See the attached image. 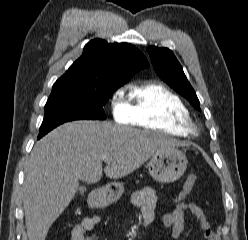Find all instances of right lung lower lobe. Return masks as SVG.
Masks as SVG:
<instances>
[{"label": "right lung lower lobe", "instance_id": "obj_1", "mask_svg": "<svg viewBox=\"0 0 248 240\" xmlns=\"http://www.w3.org/2000/svg\"><path fill=\"white\" fill-rule=\"evenodd\" d=\"M49 131H43V132H40L39 135H38V139H40L41 137H43L45 134H47Z\"/></svg>", "mask_w": 248, "mask_h": 240}]
</instances>
